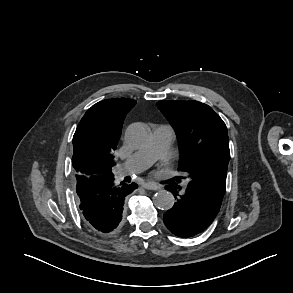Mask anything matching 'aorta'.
<instances>
[{
  "instance_id": "1",
  "label": "aorta",
  "mask_w": 293,
  "mask_h": 293,
  "mask_svg": "<svg viewBox=\"0 0 293 293\" xmlns=\"http://www.w3.org/2000/svg\"><path fill=\"white\" fill-rule=\"evenodd\" d=\"M150 132L147 126L136 123L129 126L126 132L127 143L135 148L146 145L149 141ZM154 204L162 210H169L174 205V196L172 193L161 190L154 195Z\"/></svg>"
}]
</instances>
